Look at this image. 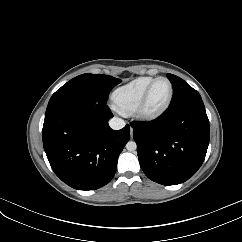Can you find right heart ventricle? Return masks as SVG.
Instances as JSON below:
<instances>
[{"instance_id":"1","label":"right heart ventricle","mask_w":242,"mask_h":242,"mask_svg":"<svg viewBox=\"0 0 242 242\" xmlns=\"http://www.w3.org/2000/svg\"><path fill=\"white\" fill-rule=\"evenodd\" d=\"M153 79L139 77L117 88L113 100L118 110L124 114L132 113Z\"/></svg>"}]
</instances>
